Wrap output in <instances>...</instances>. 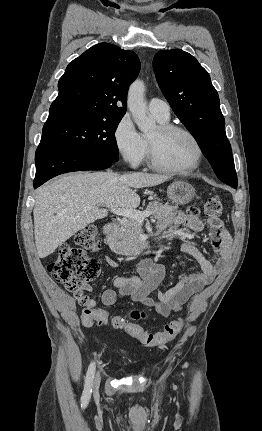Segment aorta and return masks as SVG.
I'll return each instance as SVG.
<instances>
[{
  "label": "aorta",
  "instance_id": "762f6f07",
  "mask_svg": "<svg viewBox=\"0 0 262 431\" xmlns=\"http://www.w3.org/2000/svg\"><path fill=\"white\" fill-rule=\"evenodd\" d=\"M145 86L140 80L134 81L128 91L127 107L138 129L150 134L155 128V121L147 116V104L144 100Z\"/></svg>",
  "mask_w": 262,
  "mask_h": 431
}]
</instances>
